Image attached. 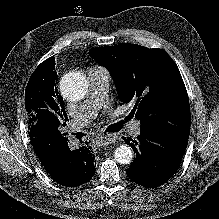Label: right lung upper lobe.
<instances>
[{
    "mask_svg": "<svg viewBox=\"0 0 219 219\" xmlns=\"http://www.w3.org/2000/svg\"><path fill=\"white\" fill-rule=\"evenodd\" d=\"M53 62L55 63L54 57H50L47 60H45L44 62H42L40 65L50 64V63H53ZM50 74H51L50 79H47V80L44 79V80H46L49 83V85L53 88L55 86V79H56L57 73H56V71L53 70V71H51ZM54 90L56 91V94L58 95V97L62 100L60 94L57 91V88H55Z\"/></svg>",
    "mask_w": 219,
    "mask_h": 219,
    "instance_id": "right-lung-upper-lobe-1",
    "label": "right lung upper lobe"
}]
</instances>
